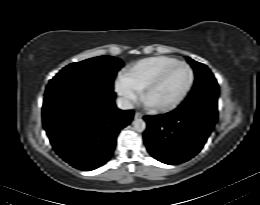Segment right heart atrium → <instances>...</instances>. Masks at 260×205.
I'll use <instances>...</instances> for the list:
<instances>
[{
    "label": "right heart atrium",
    "instance_id": "1",
    "mask_svg": "<svg viewBox=\"0 0 260 205\" xmlns=\"http://www.w3.org/2000/svg\"><path fill=\"white\" fill-rule=\"evenodd\" d=\"M116 90L129 106L134 105L140 98V90L127 83L123 76L118 78Z\"/></svg>",
    "mask_w": 260,
    "mask_h": 205
}]
</instances>
